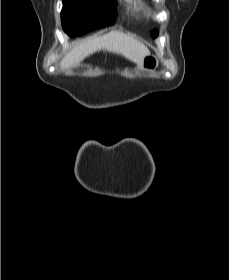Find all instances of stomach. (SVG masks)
<instances>
[{
    "label": "stomach",
    "instance_id": "1",
    "mask_svg": "<svg viewBox=\"0 0 229 280\" xmlns=\"http://www.w3.org/2000/svg\"><path fill=\"white\" fill-rule=\"evenodd\" d=\"M158 65V58L154 55H148L143 59L141 68L145 71L153 72L157 69Z\"/></svg>",
    "mask_w": 229,
    "mask_h": 280
}]
</instances>
